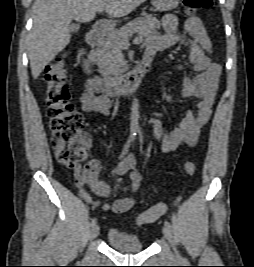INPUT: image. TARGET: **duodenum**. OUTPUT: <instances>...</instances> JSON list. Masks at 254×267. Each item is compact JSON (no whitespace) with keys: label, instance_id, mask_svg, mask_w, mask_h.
<instances>
[{"label":"duodenum","instance_id":"duodenum-1","mask_svg":"<svg viewBox=\"0 0 254 267\" xmlns=\"http://www.w3.org/2000/svg\"><path fill=\"white\" fill-rule=\"evenodd\" d=\"M105 26L104 21H99L91 28L86 36L88 45L97 46L102 42ZM78 58L83 71L90 74L92 72V65L87 59L85 52L80 51ZM150 67L151 59L144 57L143 61L136 68L125 74L121 79L106 74L105 85L102 88L103 92L108 97H123L131 94L148 74Z\"/></svg>","mask_w":254,"mask_h":267}]
</instances>
